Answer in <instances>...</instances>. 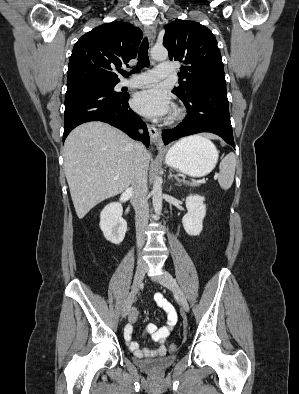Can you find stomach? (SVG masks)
I'll list each match as a JSON object with an SVG mask.
<instances>
[{
  "label": "stomach",
  "mask_w": 299,
  "mask_h": 394,
  "mask_svg": "<svg viewBox=\"0 0 299 394\" xmlns=\"http://www.w3.org/2000/svg\"><path fill=\"white\" fill-rule=\"evenodd\" d=\"M217 160L216 147L194 136L177 142L165 156L167 165L192 177H201L210 173Z\"/></svg>",
  "instance_id": "obj_1"
}]
</instances>
